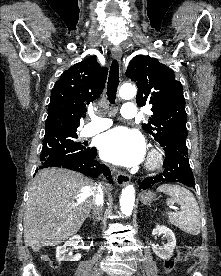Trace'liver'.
Masks as SVG:
<instances>
[{"mask_svg":"<svg viewBox=\"0 0 221 276\" xmlns=\"http://www.w3.org/2000/svg\"><path fill=\"white\" fill-rule=\"evenodd\" d=\"M98 185L61 168L38 172L25 205L24 242L38 252L75 235L88 217Z\"/></svg>","mask_w":221,"mask_h":276,"instance_id":"6515ba94","label":"liver"}]
</instances>
